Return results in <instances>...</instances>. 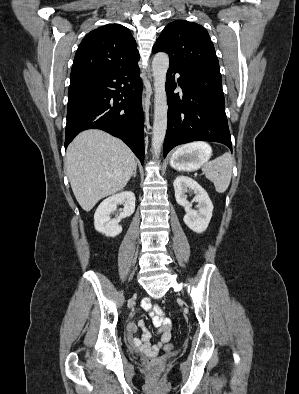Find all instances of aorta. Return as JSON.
Masks as SVG:
<instances>
[{
	"label": "aorta",
	"mask_w": 299,
	"mask_h": 394,
	"mask_svg": "<svg viewBox=\"0 0 299 394\" xmlns=\"http://www.w3.org/2000/svg\"><path fill=\"white\" fill-rule=\"evenodd\" d=\"M169 67V57L164 52L155 54L152 61L154 78V123L152 136V149L154 157L158 158L165 138L167 129V98H166V74Z\"/></svg>",
	"instance_id": "1"
}]
</instances>
